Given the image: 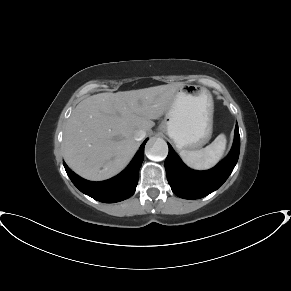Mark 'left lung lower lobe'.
<instances>
[{"label":"left lung lower lobe","mask_w":291,"mask_h":291,"mask_svg":"<svg viewBox=\"0 0 291 291\" xmlns=\"http://www.w3.org/2000/svg\"><path fill=\"white\" fill-rule=\"evenodd\" d=\"M169 146L165 160L168 183L172 191L184 199H199L217 190L233 171L240 152V135L238 124L235 127V138L229 155L214 168L207 171H195L188 168Z\"/></svg>","instance_id":"left-lung-lower-lobe-1"}]
</instances>
